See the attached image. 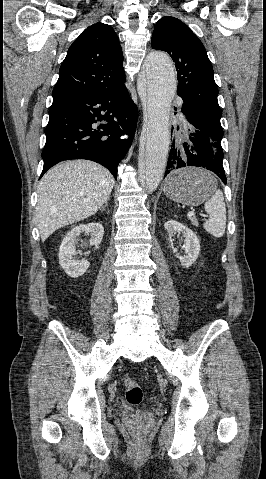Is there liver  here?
Masks as SVG:
<instances>
[{
  "mask_svg": "<svg viewBox=\"0 0 266 479\" xmlns=\"http://www.w3.org/2000/svg\"><path fill=\"white\" fill-rule=\"evenodd\" d=\"M113 186L111 173L92 161H66L50 169L38 186L36 220L42 242L56 230L94 215Z\"/></svg>",
  "mask_w": 266,
  "mask_h": 479,
  "instance_id": "1",
  "label": "liver"
}]
</instances>
